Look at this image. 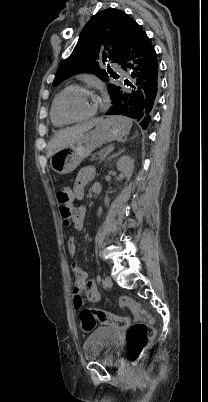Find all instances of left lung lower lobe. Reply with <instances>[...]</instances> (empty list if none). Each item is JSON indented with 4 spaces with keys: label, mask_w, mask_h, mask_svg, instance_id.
Masks as SVG:
<instances>
[{
    "label": "left lung lower lobe",
    "mask_w": 208,
    "mask_h": 402,
    "mask_svg": "<svg viewBox=\"0 0 208 402\" xmlns=\"http://www.w3.org/2000/svg\"><path fill=\"white\" fill-rule=\"evenodd\" d=\"M122 68L131 81L127 87H115L110 98L112 106L106 115H124L140 122L146 129L158 91V60L146 33L134 22L120 55Z\"/></svg>",
    "instance_id": "obj_1"
}]
</instances>
